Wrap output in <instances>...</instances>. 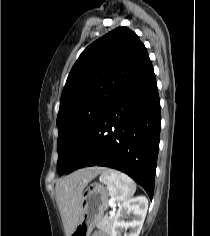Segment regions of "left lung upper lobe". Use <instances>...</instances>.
Segmentation results:
<instances>
[{
  "mask_svg": "<svg viewBox=\"0 0 210 236\" xmlns=\"http://www.w3.org/2000/svg\"><path fill=\"white\" fill-rule=\"evenodd\" d=\"M149 62L145 46L127 27L107 33L81 53L67 78L57 115L60 175L107 107Z\"/></svg>",
  "mask_w": 210,
  "mask_h": 236,
  "instance_id": "left-lung-upper-lobe-1",
  "label": "left lung upper lobe"
}]
</instances>
